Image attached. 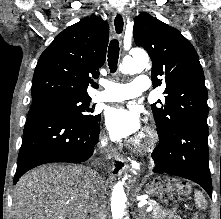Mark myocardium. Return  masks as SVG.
<instances>
[{
	"label": "myocardium",
	"instance_id": "f54148a6",
	"mask_svg": "<svg viewBox=\"0 0 221 219\" xmlns=\"http://www.w3.org/2000/svg\"><path fill=\"white\" fill-rule=\"evenodd\" d=\"M155 143L156 134L152 130H147L133 141L132 146L138 151H148L154 147Z\"/></svg>",
	"mask_w": 221,
	"mask_h": 219
}]
</instances>
